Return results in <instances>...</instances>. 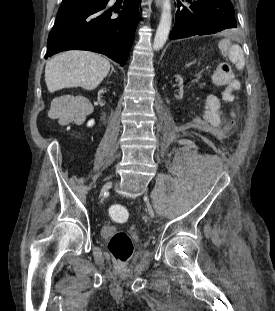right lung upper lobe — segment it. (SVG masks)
Masks as SVG:
<instances>
[{
  "mask_svg": "<svg viewBox=\"0 0 275 311\" xmlns=\"http://www.w3.org/2000/svg\"><path fill=\"white\" fill-rule=\"evenodd\" d=\"M66 1H72V0H63V2H66Z\"/></svg>",
  "mask_w": 275,
  "mask_h": 311,
  "instance_id": "right-lung-upper-lobe-1",
  "label": "right lung upper lobe"
}]
</instances>
